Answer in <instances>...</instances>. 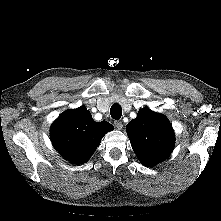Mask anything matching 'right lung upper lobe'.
<instances>
[{"mask_svg":"<svg viewBox=\"0 0 221 221\" xmlns=\"http://www.w3.org/2000/svg\"><path fill=\"white\" fill-rule=\"evenodd\" d=\"M113 130L107 121L95 122L84 107L63 112L52 124L50 138L54 148L75 164L86 162L96 151L106 132Z\"/></svg>","mask_w":221,"mask_h":221,"instance_id":"right-lung-upper-lobe-1","label":"right lung upper lobe"}]
</instances>
